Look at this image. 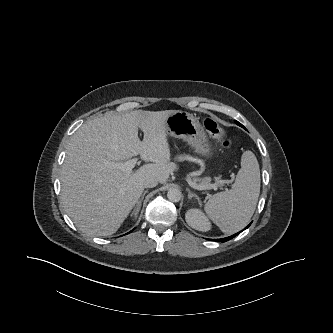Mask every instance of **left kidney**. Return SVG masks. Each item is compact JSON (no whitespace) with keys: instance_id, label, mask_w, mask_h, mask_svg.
I'll return each instance as SVG.
<instances>
[{"instance_id":"5707ae66","label":"left kidney","mask_w":333,"mask_h":333,"mask_svg":"<svg viewBox=\"0 0 333 333\" xmlns=\"http://www.w3.org/2000/svg\"><path fill=\"white\" fill-rule=\"evenodd\" d=\"M185 219L188 225L196 230L206 232L211 229L208 218L197 208L189 209L185 214Z\"/></svg>"}]
</instances>
